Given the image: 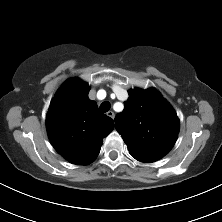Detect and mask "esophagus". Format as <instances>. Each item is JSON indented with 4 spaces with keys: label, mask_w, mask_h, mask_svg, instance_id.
Segmentation results:
<instances>
[{
    "label": "esophagus",
    "mask_w": 222,
    "mask_h": 222,
    "mask_svg": "<svg viewBox=\"0 0 222 222\" xmlns=\"http://www.w3.org/2000/svg\"><path fill=\"white\" fill-rule=\"evenodd\" d=\"M107 116H109L110 118H114V116H115V114H114V112L113 111H108L107 112Z\"/></svg>",
    "instance_id": "obj_1"
}]
</instances>
